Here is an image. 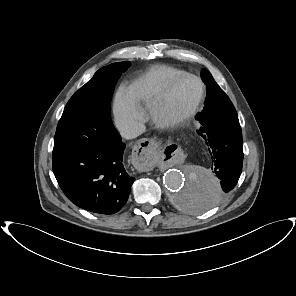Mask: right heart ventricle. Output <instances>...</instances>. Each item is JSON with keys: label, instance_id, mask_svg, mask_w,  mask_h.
<instances>
[{"label": "right heart ventricle", "instance_id": "obj_1", "mask_svg": "<svg viewBox=\"0 0 296 296\" xmlns=\"http://www.w3.org/2000/svg\"><path fill=\"white\" fill-rule=\"evenodd\" d=\"M184 73L173 66L154 65L132 82L127 95L137 107L147 109L172 79Z\"/></svg>", "mask_w": 296, "mask_h": 296}]
</instances>
